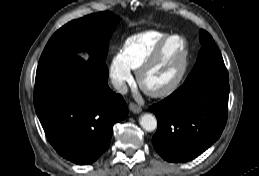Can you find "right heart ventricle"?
Segmentation results:
<instances>
[{"label": "right heart ventricle", "mask_w": 259, "mask_h": 176, "mask_svg": "<svg viewBox=\"0 0 259 176\" xmlns=\"http://www.w3.org/2000/svg\"><path fill=\"white\" fill-rule=\"evenodd\" d=\"M169 33L149 29L128 37L122 48V57L130 70L137 71L158 43Z\"/></svg>", "instance_id": "1"}]
</instances>
